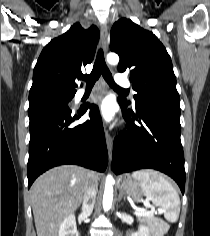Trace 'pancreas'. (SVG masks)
I'll return each mask as SVG.
<instances>
[{"label":"pancreas","instance_id":"pancreas-1","mask_svg":"<svg viewBox=\"0 0 210 236\" xmlns=\"http://www.w3.org/2000/svg\"><path fill=\"white\" fill-rule=\"evenodd\" d=\"M138 220L141 222L147 223L152 228L157 227L158 219L156 217H154L153 215H151V216H145V215L138 216Z\"/></svg>","mask_w":210,"mask_h":236}]
</instances>
